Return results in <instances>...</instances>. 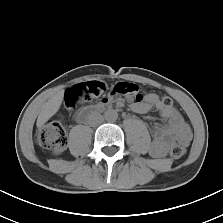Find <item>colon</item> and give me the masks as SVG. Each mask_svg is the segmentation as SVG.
I'll list each match as a JSON object with an SVG mask.
<instances>
[{"label":"colon","mask_w":223,"mask_h":223,"mask_svg":"<svg viewBox=\"0 0 223 223\" xmlns=\"http://www.w3.org/2000/svg\"><path fill=\"white\" fill-rule=\"evenodd\" d=\"M106 86L98 81H89L79 83L68 88L65 94V103L71 108L79 102H85L92 98L103 95ZM110 98L132 97L141 99L138 85L130 82L116 83L109 93ZM169 97L161 98V104L164 106L171 105ZM36 143L43 148L51 150H61L67 144V134L64 126L57 120L49 121L44 127L39 129L35 136ZM186 152V144L178 142L170 147V155L175 158H181Z\"/></svg>","instance_id":"1"}]
</instances>
